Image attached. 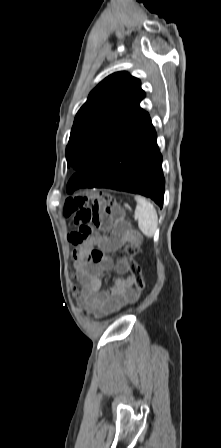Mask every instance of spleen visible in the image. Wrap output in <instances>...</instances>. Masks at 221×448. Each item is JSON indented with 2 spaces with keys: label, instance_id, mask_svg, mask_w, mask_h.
Here are the masks:
<instances>
[{
  "label": "spleen",
  "instance_id": "spleen-1",
  "mask_svg": "<svg viewBox=\"0 0 221 448\" xmlns=\"http://www.w3.org/2000/svg\"><path fill=\"white\" fill-rule=\"evenodd\" d=\"M135 218L138 227L146 237H153L157 231L158 215L154 206L141 196H135Z\"/></svg>",
  "mask_w": 221,
  "mask_h": 448
}]
</instances>
